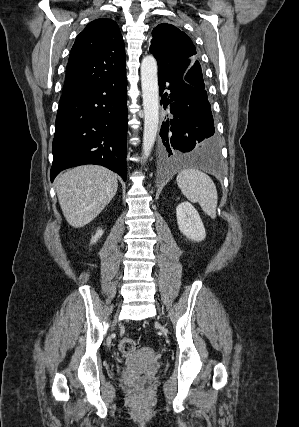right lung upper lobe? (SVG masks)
Instances as JSON below:
<instances>
[{"instance_id": "1", "label": "right lung upper lobe", "mask_w": 299, "mask_h": 427, "mask_svg": "<svg viewBox=\"0 0 299 427\" xmlns=\"http://www.w3.org/2000/svg\"><path fill=\"white\" fill-rule=\"evenodd\" d=\"M124 70V42L118 25L111 19H96L77 36L71 49L63 94L109 80Z\"/></svg>"}]
</instances>
